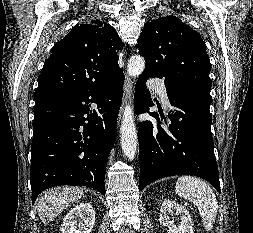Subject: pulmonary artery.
<instances>
[{
    "label": "pulmonary artery",
    "instance_id": "1",
    "mask_svg": "<svg viewBox=\"0 0 253 233\" xmlns=\"http://www.w3.org/2000/svg\"><path fill=\"white\" fill-rule=\"evenodd\" d=\"M148 86L156 92L164 105L167 106L169 104L167 89L162 81L151 80L149 81Z\"/></svg>",
    "mask_w": 253,
    "mask_h": 233
}]
</instances>
